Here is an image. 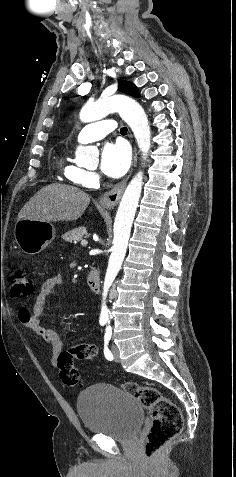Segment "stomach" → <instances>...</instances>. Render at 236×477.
Wrapping results in <instances>:
<instances>
[{"label":"stomach","instance_id":"stomach-1","mask_svg":"<svg viewBox=\"0 0 236 477\" xmlns=\"http://www.w3.org/2000/svg\"><path fill=\"white\" fill-rule=\"evenodd\" d=\"M56 231L50 222L24 218L14 229L15 240L20 249L29 255L40 253L55 238Z\"/></svg>","mask_w":236,"mask_h":477}]
</instances>
